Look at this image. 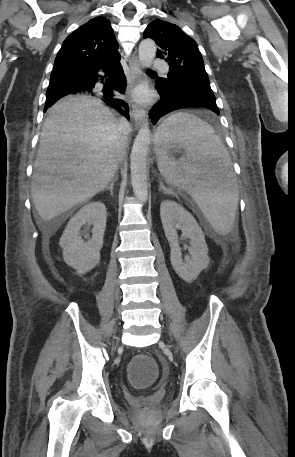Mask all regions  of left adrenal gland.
I'll return each instance as SVG.
<instances>
[{
  "mask_svg": "<svg viewBox=\"0 0 295 457\" xmlns=\"http://www.w3.org/2000/svg\"><path fill=\"white\" fill-rule=\"evenodd\" d=\"M159 191L160 192H163L164 194H170V192L165 188V186L163 185V182L161 180H159Z\"/></svg>",
  "mask_w": 295,
  "mask_h": 457,
  "instance_id": "1",
  "label": "left adrenal gland"
}]
</instances>
